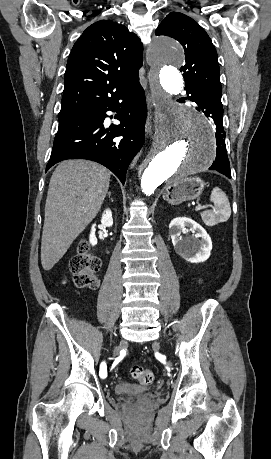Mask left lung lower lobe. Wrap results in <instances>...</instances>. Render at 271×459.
<instances>
[{
    "label": "left lung lower lobe",
    "mask_w": 271,
    "mask_h": 459,
    "mask_svg": "<svg viewBox=\"0 0 271 459\" xmlns=\"http://www.w3.org/2000/svg\"><path fill=\"white\" fill-rule=\"evenodd\" d=\"M190 96L187 99L198 104V111H202L209 118L215 128L216 137V160L213 162L210 170H216L228 178H231L230 164L226 151L225 138L226 134L223 129V108L211 103L212 94L208 89L198 92L187 91Z\"/></svg>",
    "instance_id": "0a47b994"
}]
</instances>
